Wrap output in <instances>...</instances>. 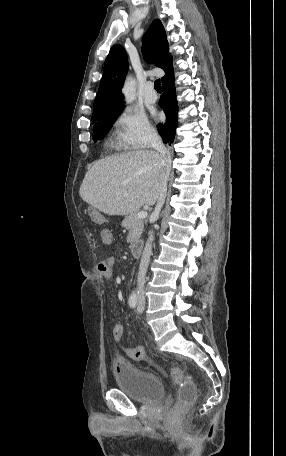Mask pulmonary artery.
I'll return each instance as SVG.
<instances>
[{"label":"pulmonary artery","instance_id":"pulmonary-artery-1","mask_svg":"<svg viewBox=\"0 0 286 456\" xmlns=\"http://www.w3.org/2000/svg\"><path fill=\"white\" fill-rule=\"evenodd\" d=\"M144 98L149 103H154L157 101V94L153 89V84L151 82L147 83L144 90Z\"/></svg>","mask_w":286,"mask_h":456}]
</instances>
